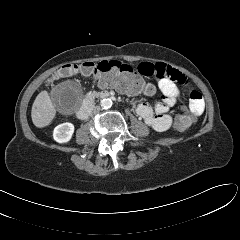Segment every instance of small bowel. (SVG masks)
Wrapping results in <instances>:
<instances>
[{
    "instance_id": "c3829d8e",
    "label": "small bowel",
    "mask_w": 240,
    "mask_h": 240,
    "mask_svg": "<svg viewBox=\"0 0 240 240\" xmlns=\"http://www.w3.org/2000/svg\"><path fill=\"white\" fill-rule=\"evenodd\" d=\"M143 77H153L157 81L159 90L162 93L161 99L152 108L147 103H139L135 109L137 115L143 119L146 125L152 129L162 132L170 128L172 118L168 111L182 96L180 85H186V77L165 63L142 62L137 66ZM105 86L104 84H101ZM189 110L194 116H200L205 108L204 99L196 90L189 94Z\"/></svg>"
}]
</instances>
